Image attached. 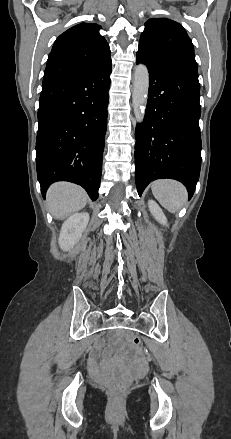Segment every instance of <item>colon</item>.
<instances>
[{
	"label": "colon",
	"mask_w": 231,
	"mask_h": 439,
	"mask_svg": "<svg viewBox=\"0 0 231 439\" xmlns=\"http://www.w3.org/2000/svg\"><path fill=\"white\" fill-rule=\"evenodd\" d=\"M131 345L135 348L142 347V341L139 336L133 335L130 339ZM128 381L125 378H113L110 382V391L114 397H120L125 392Z\"/></svg>",
	"instance_id": "1"
}]
</instances>
